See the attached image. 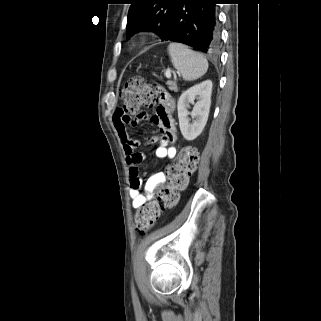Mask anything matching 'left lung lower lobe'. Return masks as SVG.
I'll use <instances>...</instances> for the list:
<instances>
[{
  "label": "left lung lower lobe",
  "mask_w": 321,
  "mask_h": 321,
  "mask_svg": "<svg viewBox=\"0 0 321 321\" xmlns=\"http://www.w3.org/2000/svg\"><path fill=\"white\" fill-rule=\"evenodd\" d=\"M220 0H178L172 13L164 41L186 44L198 51L213 54L220 46L215 4Z\"/></svg>",
  "instance_id": "left-lung-lower-lobe-1"
}]
</instances>
